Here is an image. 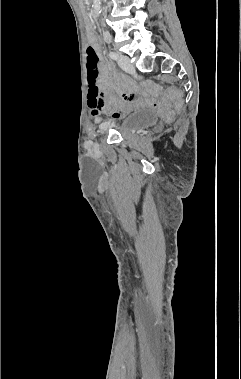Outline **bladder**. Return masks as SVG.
I'll list each match as a JSON object with an SVG mask.
<instances>
[{
	"label": "bladder",
	"mask_w": 241,
	"mask_h": 379,
	"mask_svg": "<svg viewBox=\"0 0 241 379\" xmlns=\"http://www.w3.org/2000/svg\"><path fill=\"white\" fill-rule=\"evenodd\" d=\"M157 120L158 114L154 110L138 108L124 118L120 131L123 136H127L135 131L151 127Z\"/></svg>",
	"instance_id": "31cf9c89"
}]
</instances>
